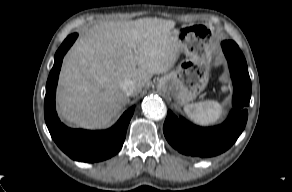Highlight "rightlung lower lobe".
<instances>
[{"label":"right lung lower lobe","mask_w":292,"mask_h":192,"mask_svg":"<svg viewBox=\"0 0 292 192\" xmlns=\"http://www.w3.org/2000/svg\"><path fill=\"white\" fill-rule=\"evenodd\" d=\"M77 36V33L69 35L55 54L54 66L46 84L45 122L55 143L70 158L82 162H98L114 156L121 149L134 107L127 110L112 128L105 131L74 130L60 122L55 110L58 75L63 57Z\"/></svg>","instance_id":"right-lung-lower-lobe-1"}]
</instances>
